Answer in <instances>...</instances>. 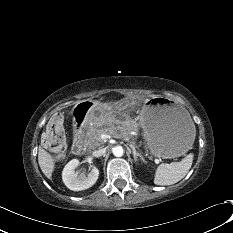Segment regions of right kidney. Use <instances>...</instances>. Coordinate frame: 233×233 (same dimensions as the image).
Masks as SVG:
<instances>
[{"instance_id":"1","label":"right kidney","mask_w":233,"mask_h":233,"mask_svg":"<svg viewBox=\"0 0 233 233\" xmlns=\"http://www.w3.org/2000/svg\"><path fill=\"white\" fill-rule=\"evenodd\" d=\"M78 164L79 161L73 159L66 164L62 172L64 184L73 191H81L90 188L95 184L99 176V170L96 167H92L88 176H84L83 174L78 175V173L75 172Z\"/></svg>"}]
</instances>
